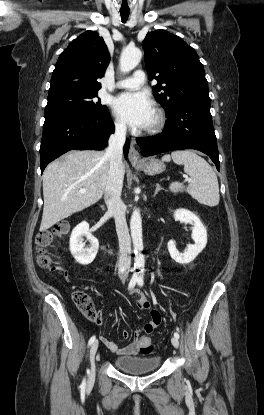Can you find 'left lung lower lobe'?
Returning <instances> with one entry per match:
<instances>
[{"instance_id":"left-lung-lower-lobe-1","label":"left lung lower lobe","mask_w":264,"mask_h":415,"mask_svg":"<svg viewBox=\"0 0 264 415\" xmlns=\"http://www.w3.org/2000/svg\"><path fill=\"white\" fill-rule=\"evenodd\" d=\"M162 133L136 138L143 156L177 149H196L207 154L219 171V153L212 124L210 102L186 101L167 113Z\"/></svg>"}]
</instances>
